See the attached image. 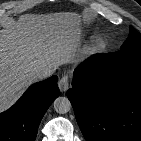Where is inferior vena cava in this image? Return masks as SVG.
<instances>
[{
    "label": "inferior vena cava",
    "mask_w": 141,
    "mask_h": 141,
    "mask_svg": "<svg viewBox=\"0 0 141 141\" xmlns=\"http://www.w3.org/2000/svg\"><path fill=\"white\" fill-rule=\"evenodd\" d=\"M52 75V70L48 67H40L35 70L34 76L37 79H46Z\"/></svg>",
    "instance_id": "602c4592"
}]
</instances>
